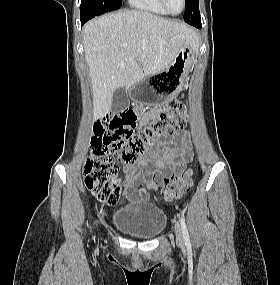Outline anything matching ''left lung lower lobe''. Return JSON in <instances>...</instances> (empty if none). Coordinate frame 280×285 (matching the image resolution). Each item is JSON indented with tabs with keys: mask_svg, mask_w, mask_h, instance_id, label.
Segmentation results:
<instances>
[{
	"mask_svg": "<svg viewBox=\"0 0 280 285\" xmlns=\"http://www.w3.org/2000/svg\"><path fill=\"white\" fill-rule=\"evenodd\" d=\"M193 26H195L196 28H201L202 27L201 23H198V24L194 23Z\"/></svg>",
	"mask_w": 280,
	"mask_h": 285,
	"instance_id": "obj_1",
	"label": "left lung lower lobe"
}]
</instances>
